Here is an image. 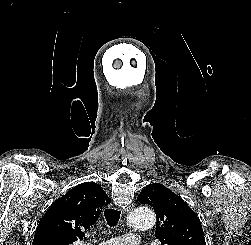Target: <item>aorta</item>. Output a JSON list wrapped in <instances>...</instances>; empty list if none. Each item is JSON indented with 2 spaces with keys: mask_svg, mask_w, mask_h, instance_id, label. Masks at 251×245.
Segmentation results:
<instances>
[{
  "mask_svg": "<svg viewBox=\"0 0 251 245\" xmlns=\"http://www.w3.org/2000/svg\"><path fill=\"white\" fill-rule=\"evenodd\" d=\"M156 217L152 209L140 206L134 209L129 216V226L136 230H146L154 226Z\"/></svg>",
  "mask_w": 251,
  "mask_h": 245,
  "instance_id": "aorta-1",
  "label": "aorta"
}]
</instances>
